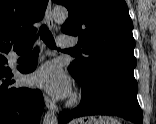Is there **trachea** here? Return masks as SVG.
Returning <instances> with one entry per match:
<instances>
[{"label": "trachea", "instance_id": "trachea-1", "mask_svg": "<svg viewBox=\"0 0 156 124\" xmlns=\"http://www.w3.org/2000/svg\"><path fill=\"white\" fill-rule=\"evenodd\" d=\"M39 34L41 35L42 40L44 43L51 49L56 48V44L53 38L52 33L48 29L46 25H42L39 30ZM31 49V48H30Z\"/></svg>", "mask_w": 156, "mask_h": 124}]
</instances>
